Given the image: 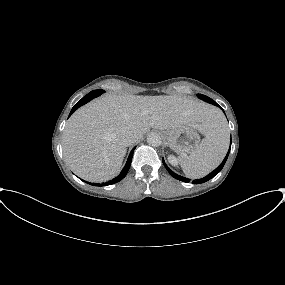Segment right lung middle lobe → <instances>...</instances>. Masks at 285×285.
I'll return each mask as SVG.
<instances>
[{
  "mask_svg": "<svg viewBox=\"0 0 285 285\" xmlns=\"http://www.w3.org/2000/svg\"><path fill=\"white\" fill-rule=\"evenodd\" d=\"M104 92H105L104 90L99 89V90L91 91L90 93H93V94L99 93V95H101V94L104 93Z\"/></svg>",
  "mask_w": 285,
  "mask_h": 285,
  "instance_id": "obj_1",
  "label": "right lung middle lobe"
}]
</instances>
